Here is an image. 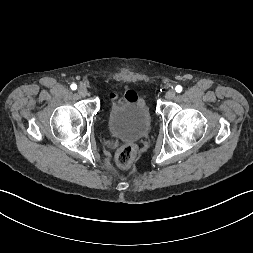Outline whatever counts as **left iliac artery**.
Segmentation results:
<instances>
[{
    "label": "left iliac artery",
    "instance_id": "1",
    "mask_svg": "<svg viewBox=\"0 0 253 253\" xmlns=\"http://www.w3.org/2000/svg\"><path fill=\"white\" fill-rule=\"evenodd\" d=\"M175 90H176V92L180 93V92L182 91V86L177 85V86L175 87Z\"/></svg>",
    "mask_w": 253,
    "mask_h": 253
}]
</instances>
